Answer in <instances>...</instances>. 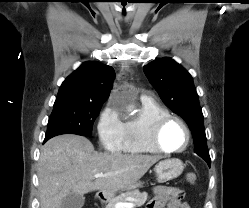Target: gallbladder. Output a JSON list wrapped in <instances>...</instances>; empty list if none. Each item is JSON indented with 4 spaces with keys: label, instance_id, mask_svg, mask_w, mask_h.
Instances as JSON below:
<instances>
[{
    "label": "gallbladder",
    "instance_id": "gallbladder-1",
    "mask_svg": "<svg viewBox=\"0 0 249 208\" xmlns=\"http://www.w3.org/2000/svg\"><path fill=\"white\" fill-rule=\"evenodd\" d=\"M85 202V197L83 195L70 192L61 203L60 208H82Z\"/></svg>",
    "mask_w": 249,
    "mask_h": 208
}]
</instances>
